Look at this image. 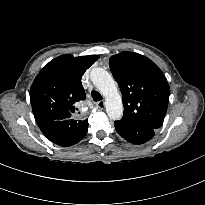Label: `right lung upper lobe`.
Listing matches in <instances>:
<instances>
[{
	"instance_id": "1",
	"label": "right lung upper lobe",
	"mask_w": 205,
	"mask_h": 205,
	"mask_svg": "<svg viewBox=\"0 0 205 205\" xmlns=\"http://www.w3.org/2000/svg\"><path fill=\"white\" fill-rule=\"evenodd\" d=\"M99 56L61 55L46 64L36 76L30 101L38 126L61 121L60 133L70 141H78L88 130V119L74 120L77 103L86 98L81 84L84 72Z\"/></svg>"
}]
</instances>
